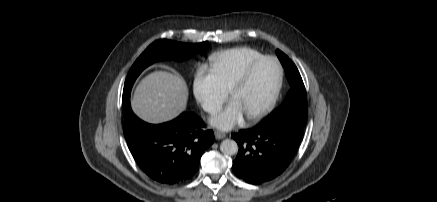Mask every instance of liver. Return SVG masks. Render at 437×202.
<instances>
[{"mask_svg":"<svg viewBox=\"0 0 437 202\" xmlns=\"http://www.w3.org/2000/svg\"><path fill=\"white\" fill-rule=\"evenodd\" d=\"M187 99L188 88L180 75L155 71L138 84L131 106L142 120L157 124L177 117L185 110Z\"/></svg>","mask_w":437,"mask_h":202,"instance_id":"6515ba94","label":"liver"}]
</instances>
